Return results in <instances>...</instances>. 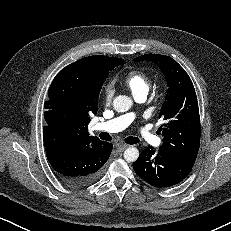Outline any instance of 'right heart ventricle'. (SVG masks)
I'll use <instances>...</instances> for the list:
<instances>
[{
  "instance_id": "obj_1",
  "label": "right heart ventricle",
  "mask_w": 231,
  "mask_h": 231,
  "mask_svg": "<svg viewBox=\"0 0 231 231\" xmlns=\"http://www.w3.org/2000/svg\"><path fill=\"white\" fill-rule=\"evenodd\" d=\"M150 77L141 70H132L123 77L124 86L131 92L133 97L147 94L150 88Z\"/></svg>"
}]
</instances>
